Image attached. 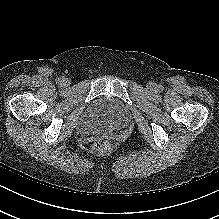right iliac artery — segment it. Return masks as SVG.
Wrapping results in <instances>:
<instances>
[{
  "mask_svg": "<svg viewBox=\"0 0 219 219\" xmlns=\"http://www.w3.org/2000/svg\"><path fill=\"white\" fill-rule=\"evenodd\" d=\"M62 79H63V78L60 77V78H58L56 81H57V82H61Z\"/></svg>",
  "mask_w": 219,
  "mask_h": 219,
  "instance_id": "82829eb1",
  "label": "right iliac artery"
}]
</instances>
